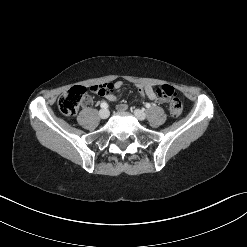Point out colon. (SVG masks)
Returning a JSON list of instances; mask_svg holds the SVG:
<instances>
[{"label":"colon","mask_w":247,"mask_h":247,"mask_svg":"<svg viewBox=\"0 0 247 247\" xmlns=\"http://www.w3.org/2000/svg\"><path fill=\"white\" fill-rule=\"evenodd\" d=\"M107 86L108 85H97L90 89L92 91H101ZM132 88L136 89V92H139L138 101L135 103L136 106H141L144 95L151 100H155L160 105L165 104L171 97L169 103L171 116L179 117L181 115L183 103L171 85H159L154 88L153 86L146 85V81L142 80L141 83L137 82L133 84ZM86 98V88L83 86H74L59 97L58 108L65 116H73L77 113L80 105Z\"/></svg>","instance_id":"5ec220e1"}]
</instances>
